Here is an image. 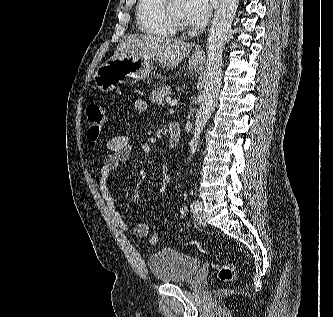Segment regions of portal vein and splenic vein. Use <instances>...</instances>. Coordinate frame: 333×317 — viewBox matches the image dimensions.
<instances>
[{
  "label": "portal vein and splenic vein",
  "mask_w": 333,
  "mask_h": 317,
  "mask_svg": "<svg viewBox=\"0 0 333 317\" xmlns=\"http://www.w3.org/2000/svg\"><path fill=\"white\" fill-rule=\"evenodd\" d=\"M165 101L170 105V106H175L177 105V101L176 100H171L170 98H165Z\"/></svg>",
  "instance_id": "obj_1"
}]
</instances>
